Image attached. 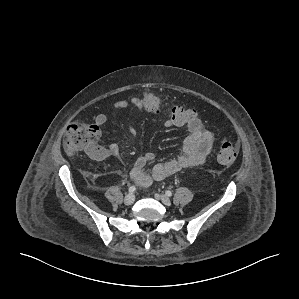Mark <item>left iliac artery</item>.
I'll list each match as a JSON object with an SVG mask.
<instances>
[{"instance_id": "1", "label": "left iliac artery", "mask_w": 299, "mask_h": 299, "mask_svg": "<svg viewBox=\"0 0 299 299\" xmlns=\"http://www.w3.org/2000/svg\"><path fill=\"white\" fill-rule=\"evenodd\" d=\"M165 194H166L167 196H172V192L169 191V190H167V191L165 192Z\"/></svg>"}]
</instances>
